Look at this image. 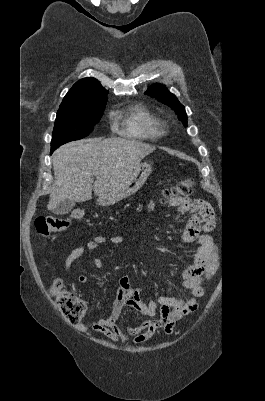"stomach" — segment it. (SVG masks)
Listing matches in <instances>:
<instances>
[{"label": "stomach", "mask_w": 265, "mask_h": 401, "mask_svg": "<svg viewBox=\"0 0 265 401\" xmlns=\"http://www.w3.org/2000/svg\"><path fill=\"white\" fill-rule=\"evenodd\" d=\"M151 170L152 166L149 162H139L131 176H129L123 184H120V186H117L114 190H110L105 196H100V198H98L99 205H102V207L114 205V203L122 201V198H127V196H131V194L137 192V190L143 186L145 180H147Z\"/></svg>", "instance_id": "obj_1"}]
</instances>
